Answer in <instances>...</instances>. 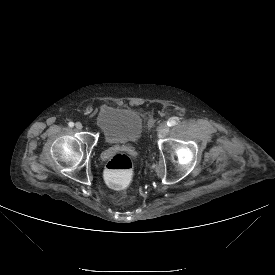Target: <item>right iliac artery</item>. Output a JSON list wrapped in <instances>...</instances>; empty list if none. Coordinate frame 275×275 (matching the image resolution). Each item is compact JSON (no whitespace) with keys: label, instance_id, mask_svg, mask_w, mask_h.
<instances>
[{"label":"right iliac artery","instance_id":"1","mask_svg":"<svg viewBox=\"0 0 275 275\" xmlns=\"http://www.w3.org/2000/svg\"><path fill=\"white\" fill-rule=\"evenodd\" d=\"M68 126H69V127H73V126H74V123H73V122H69V123H68Z\"/></svg>","mask_w":275,"mask_h":275}]
</instances>
